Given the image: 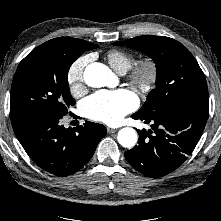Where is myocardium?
Segmentation results:
<instances>
[{
    "label": "myocardium",
    "instance_id": "obj_1",
    "mask_svg": "<svg viewBox=\"0 0 221 221\" xmlns=\"http://www.w3.org/2000/svg\"><path fill=\"white\" fill-rule=\"evenodd\" d=\"M133 86L141 92L150 91L158 79V65L153 58L146 57L135 62L128 72Z\"/></svg>",
    "mask_w": 221,
    "mask_h": 221
}]
</instances>
